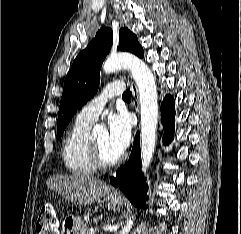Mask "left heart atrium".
<instances>
[{"instance_id":"39dd6f15","label":"left heart atrium","mask_w":241,"mask_h":234,"mask_svg":"<svg viewBox=\"0 0 241 234\" xmlns=\"http://www.w3.org/2000/svg\"><path fill=\"white\" fill-rule=\"evenodd\" d=\"M108 138L112 148L122 154L131 140V127L124 114H112L108 118Z\"/></svg>"}]
</instances>
